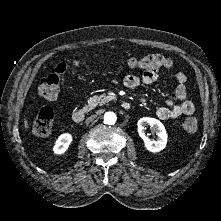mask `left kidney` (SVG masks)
Here are the masks:
<instances>
[{
	"label": "left kidney",
	"instance_id": "obj_1",
	"mask_svg": "<svg viewBox=\"0 0 221 221\" xmlns=\"http://www.w3.org/2000/svg\"><path fill=\"white\" fill-rule=\"evenodd\" d=\"M137 126L138 133L143 139L144 146L148 151L155 153L163 150L166 147L168 135L162 122L155 118L143 117L138 121ZM146 126H150L151 129L156 133L158 136L157 140L149 139L145 135Z\"/></svg>",
	"mask_w": 221,
	"mask_h": 221
}]
</instances>
